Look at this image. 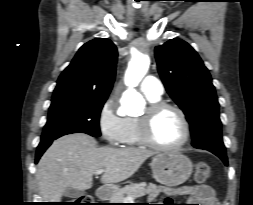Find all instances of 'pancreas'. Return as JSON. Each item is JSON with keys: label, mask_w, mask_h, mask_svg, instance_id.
I'll return each instance as SVG.
<instances>
[{"label": "pancreas", "mask_w": 253, "mask_h": 205, "mask_svg": "<svg viewBox=\"0 0 253 205\" xmlns=\"http://www.w3.org/2000/svg\"><path fill=\"white\" fill-rule=\"evenodd\" d=\"M146 194L149 195V200H154L159 194L156 185L152 183L147 185L145 182L130 184L114 192L110 201L111 203H127L130 197L134 200Z\"/></svg>", "instance_id": "pancreas-1"}]
</instances>
